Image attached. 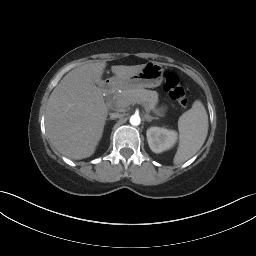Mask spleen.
<instances>
[{"mask_svg":"<svg viewBox=\"0 0 256 256\" xmlns=\"http://www.w3.org/2000/svg\"><path fill=\"white\" fill-rule=\"evenodd\" d=\"M179 147L174 164L191 158L203 146L208 133V115L202 102L196 100L191 109L183 113L178 121Z\"/></svg>","mask_w":256,"mask_h":256,"instance_id":"obj_1","label":"spleen"}]
</instances>
